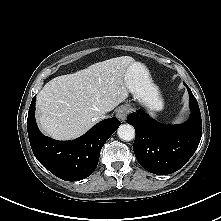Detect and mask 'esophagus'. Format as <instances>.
<instances>
[{
    "label": "esophagus",
    "instance_id": "34e87169",
    "mask_svg": "<svg viewBox=\"0 0 221 221\" xmlns=\"http://www.w3.org/2000/svg\"><path fill=\"white\" fill-rule=\"evenodd\" d=\"M131 108L129 106H121L117 112H116V116L117 118H119L121 121H125L127 115L130 113Z\"/></svg>",
    "mask_w": 221,
    "mask_h": 221
}]
</instances>
